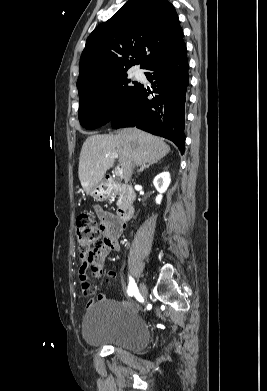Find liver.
<instances>
[{"label":"liver","instance_id":"liver-1","mask_svg":"<svg viewBox=\"0 0 267 391\" xmlns=\"http://www.w3.org/2000/svg\"><path fill=\"white\" fill-rule=\"evenodd\" d=\"M170 147L163 139L137 128H124L116 135H93L83 143L78 175L87 194L100 183L114 159L108 154H118L119 166L123 169V178L129 181L134 166L157 162L165 157Z\"/></svg>","mask_w":267,"mask_h":391}]
</instances>
